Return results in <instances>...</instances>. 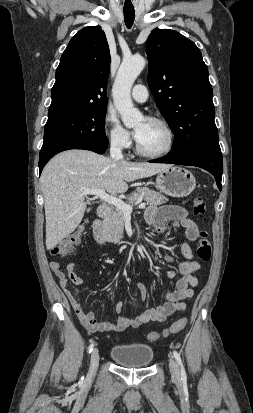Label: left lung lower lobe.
I'll return each instance as SVG.
<instances>
[{"mask_svg": "<svg viewBox=\"0 0 253 413\" xmlns=\"http://www.w3.org/2000/svg\"><path fill=\"white\" fill-rule=\"evenodd\" d=\"M149 162L170 163L203 168L215 177L217 186L221 190V179L223 172L221 152L212 150H198L182 154H169L168 156L154 159Z\"/></svg>", "mask_w": 253, "mask_h": 413, "instance_id": "1", "label": "left lung lower lobe"}]
</instances>
